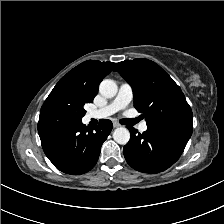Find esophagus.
I'll use <instances>...</instances> for the list:
<instances>
[{
	"instance_id": "obj_1",
	"label": "esophagus",
	"mask_w": 224,
	"mask_h": 224,
	"mask_svg": "<svg viewBox=\"0 0 224 224\" xmlns=\"http://www.w3.org/2000/svg\"><path fill=\"white\" fill-rule=\"evenodd\" d=\"M113 127L114 128L120 127V124L117 121H113Z\"/></svg>"
}]
</instances>
